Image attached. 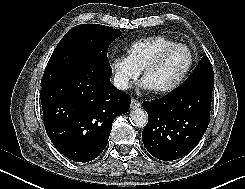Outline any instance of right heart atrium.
Here are the masks:
<instances>
[{
	"label": "right heart atrium",
	"mask_w": 245,
	"mask_h": 189,
	"mask_svg": "<svg viewBox=\"0 0 245 189\" xmlns=\"http://www.w3.org/2000/svg\"><path fill=\"white\" fill-rule=\"evenodd\" d=\"M110 69L115 85L121 90L128 89L140 74L126 56L114 58L110 63Z\"/></svg>",
	"instance_id": "1"
}]
</instances>
